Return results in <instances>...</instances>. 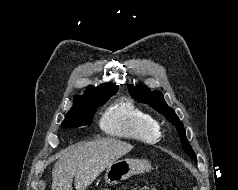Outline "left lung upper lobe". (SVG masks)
<instances>
[{"label":"left lung upper lobe","mask_w":238,"mask_h":190,"mask_svg":"<svg viewBox=\"0 0 238 190\" xmlns=\"http://www.w3.org/2000/svg\"><path fill=\"white\" fill-rule=\"evenodd\" d=\"M128 90L133 98L140 102L149 104L155 110L163 114L169 121H171L176 126L181 143L183 144L184 151L189 155L190 158H192L194 161H197L194 151L188 144L186 132L182 122L179 120L174 110L167 106L162 93H160L159 91H150L145 86L134 87L132 85H129Z\"/></svg>","instance_id":"1"}]
</instances>
